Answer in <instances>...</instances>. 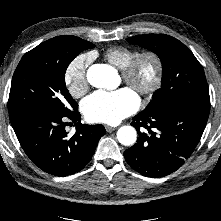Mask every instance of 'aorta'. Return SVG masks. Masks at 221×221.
I'll return each instance as SVG.
<instances>
[{"label":"aorta","instance_id":"obj_1","mask_svg":"<svg viewBox=\"0 0 221 221\" xmlns=\"http://www.w3.org/2000/svg\"><path fill=\"white\" fill-rule=\"evenodd\" d=\"M115 78L116 74L112 68L103 64L92 65L87 71L88 82L97 88H113ZM117 139L124 146L133 145L137 139V132L132 126H122L117 131Z\"/></svg>","mask_w":221,"mask_h":221}]
</instances>
